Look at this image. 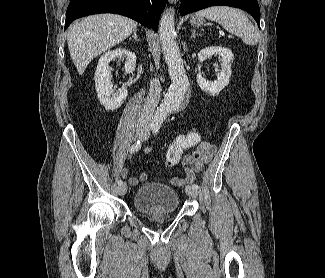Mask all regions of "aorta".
<instances>
[{
    "label": "aorta",
    "instance_id": "obj_1",
    "mask_svg": "<svg viewBox=\"0 0 325 278\" xmlns=\"http://www.w3.org/2000/svg\"><path fill=\"white\" fill-rule=\"evenodd\" d=\"M174 10H166L159 22V36L162 51L168 66L171 85L164 101L157 108L154 116L156 122L162 123L169 112L177 110L188 91L189 81L183 66L179 47L175 41Z\"/></svg>",
    "mask_w": 325,
    "mask_h": 278
}]
</instances>
